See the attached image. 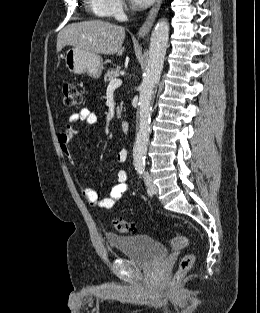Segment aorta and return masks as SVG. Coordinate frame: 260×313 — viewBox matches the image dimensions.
I'll return each mask as SVG.
<instances>
[{
    "mask_svg": "<svg viewBox=\"0 0 260 313\" xmlns=\"http://www.w3.org/2000/svg\"><path fill=\"white\" fill-rule=\"evenodd\" d=\"M168 39L169 23L166 19H161L151 34L146 73L139 87L138 128L133 147V162L136 165L145 162L150 135L151 101L160 80Z\"/></svg>",
    "mask_w": 260,
    "mask_h": 313,
    "instance_id": "aorta-1",
    "label": "aorta"
}]
</instances>
